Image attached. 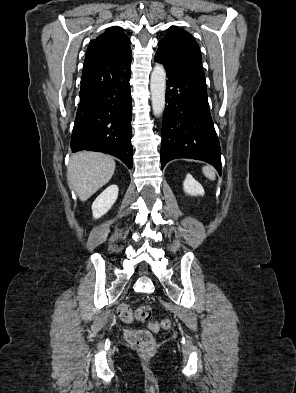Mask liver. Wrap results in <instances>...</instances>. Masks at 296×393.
<instances>
[{
  "instance_id": "obj_1",
  "label": "liver",
  "mask_w": 296,
  "mask_h": 393,
  "mask_svg": "<svg viewBox=\"0 0 296 393\" xmlns=\"http://www.w3.org/2000/svg\"><path fill=\"white\" fill-rule=\"evenodd\" d=\"M115 161L103 153L82 151L70 158L67 180L81 201H86L111 179Z\"/></svg>"
}]
</instances>
